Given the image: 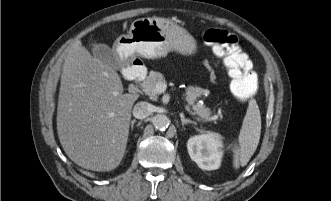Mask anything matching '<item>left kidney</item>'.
Here are the masks:
<instances>
[{
    "mask_svg": "<svg viewBox=\"0 0 331 201\" xmlns=\"http://www.w3.org/2000/svg\"><path fill=\"white\" fill-rule=\"evenodd\" d=\"M188 153L203 170H215L220 167L223 155L221 135L202 134L191 137L187 142Z\"/></svg>",
    "mask_w": 331,
    "mask_h": 201,
    "instance_id": "obj_1",
    "label": "left kidney"
}]
</instances>
